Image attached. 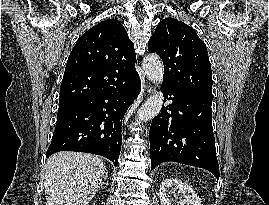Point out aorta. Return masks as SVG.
I'll list each match as a JSON object with an SVG mask.
<instances>
[{"label": "aorta", "mask_w": 269, "mask_h": 205, "mask_svg": "<svg viewBox=\"0 0 269 205\" xmlns=\"http://www.w3.org/2000/svg\"><path fill=\"white\" fill-rule=\"evenodd\" d=\"M143 70L149 80L161 84L163 81V64L159 56L149 54L143 59ZM164 96L162 92L154 93L139 109L136 120L147 122L157 116L162 109Z\"/></svg>", "instance_id": "aorta-1"}]
</instances>
